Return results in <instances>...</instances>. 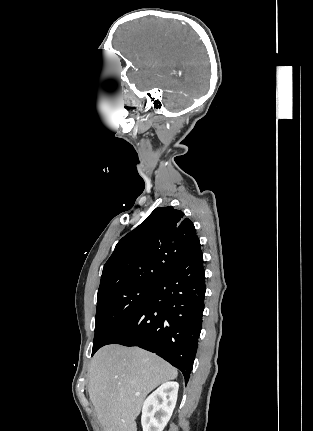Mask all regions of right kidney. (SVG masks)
<instances>
[{"mask_svg": "<svg viewBox=\"0 0 313 431\" xmlns=\"http://www.w3.org/2000/svg\"><path fill=\"white\" fill-rule=\"evenodd\" d=\"M179 384L165 382L144 401L141 424L143 431H163L176 405Z\"/></svg>", "mask_w": 313, "mask_h": 431, "instance_id": "obj_1", "label": "right kidney"}]
</instances>
